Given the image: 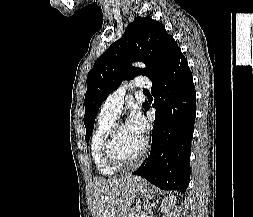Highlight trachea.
I'll return each instance as SVG.
<instances>
[{
	"mask_svg": "<svg viewBox=\"0 0 253 217\" xmlns=\"http://www.w3.org/2000/svg\"><path fill=\"white\" fill-rule=\"evenodd\" d=\"M148 92V90H144V93H147Z\"/></svg>",
	"mask_w": 253,
	"mask_h": 217,
	"instance_id": "3493384b",
	"label": "trachea"
}]
</instances>
